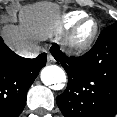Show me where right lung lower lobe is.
<instances>
[{"mask_svg": "<svg viewBox=\"0 0 117 117\" xmlns=\"http://www.w3.org/2000/svg\"><path fill=\"white\" fill-rule=\"evenodd\" d=\"M46 53L27 59L10 50L0 37V117H18L26 104V94L42 67Z\"/></svg>", "mask_w": 117, "mask_h": 117, "instance_id": "right-lung-lower-lobe-1", "label": "right lung lower lobe"}]
</instances>
